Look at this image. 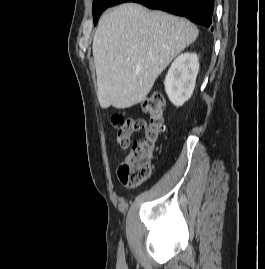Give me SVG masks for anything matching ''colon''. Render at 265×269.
I'll list each match as a JSON object with an SVG mask.
<instances>
[{"instance_id":"1","label":"colon","mask_w":265,"mask_h":269,"mask_svg":"<svg viewBox=\"0 0 265 269\" xmlns=\"http://www.w3.org/2000/svg\"><path fill=\"white\" fill-rule=\"evenodd\" d=\"M165 107L164 98L159 93H152L144 99L142 109L150 119L147 128L141 119L127 118L122 114L113 115L111 124L116 130L118 146L122 150L131 146L124 163L118 168L119 180L124 185L136 186L149 179L160 134L164 129ZM145 128L144 138L131 144V136Z\"/></svg>"}]
</instances>
